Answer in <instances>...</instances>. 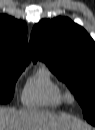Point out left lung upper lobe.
Listing matches in <instances>:
<instances>
[{
    "label": "left lung upper lobe",
    "instance_id": "5c2ea615",
    "mask_svg": "<svg viewBox=\"0 0 95 130\" xmlns=\"http://www.w3.org/2000/svg\"><path fill=\"white\" fill-rule=\"evenodd\" d=\"M30 46L33 61L46 62L75 94L84 118L95 121V45L88 33L68 18L41 20Z\"/></svg>",
    "mask_w": 95,
    "mask_h": 130
}]
</instances>
